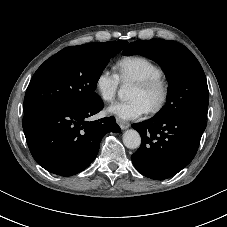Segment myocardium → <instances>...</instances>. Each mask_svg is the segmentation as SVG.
I'll use <instances>...</instances> for the list:
<instances>
[{"mask_svg":"<svg viewBox=\"0 0 227 227\" xmlns=\"http://www.w3.org/2000/svg\"><path fill=\"white\" fill-rule=\"evenodd\" d=\"M135 84L145 91L158 90L157 101L148 109L150 114L158 113L167 103L170 94V84L162 75L139 80Z\"/></svg>","mask_w":227,"mask_h":227,"instance_id":"f54148a6","label":"myocardium"}]
</instances>
